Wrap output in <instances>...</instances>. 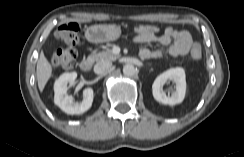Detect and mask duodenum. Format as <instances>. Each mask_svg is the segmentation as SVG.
Returning <instances> with one entry per match:
<instances>
[{
  "instance_id": "1",
  "label": "duodenum",
  "mask_w": 244,
  "mask_h": 157,
  "mask_svg": "<svg viewBox=\"0 0 244 157\" xmlns=\"http://www.w3.org/2000/svg\"><path fill=\"white\" fill-rule=\"evenodd\" d=\"M92 65H93V59L88 57L82 59L79 66L83 72H89L92 68Z\"/></svg>"
}]
</instances>
